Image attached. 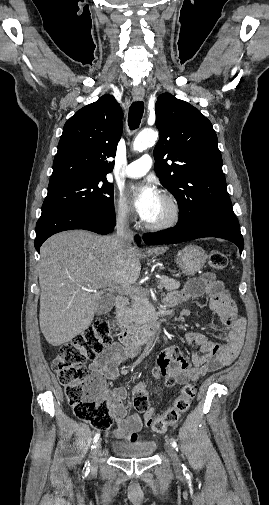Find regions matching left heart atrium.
Wrapping results in <instances>:
<instances>
[{"mask_svg": "<svg viewBox=\"0 0 269 505\" xmlns=\"http://www.w3.org/2000/svg\"><path fill=\"white\" fill-rule=\"evenodd\" d=\"M131 196L135 212L145 221L152 215L161 198L158 189L149 182L134 186Z\"/></svg>", "mask_w": 269, "mask_h": 505, "instance_id": "left-heart-atrium-1", "label": "left heart atrium"}]
</instances>
